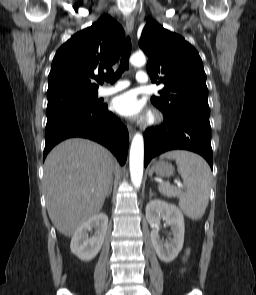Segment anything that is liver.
<instances>
[{
    "label": "liver",
    "mask_w": 256,
    "mask_h": 295,
    "mask_svg": "<svg viewBox=\"0 0 256 295\" xmlns=\"http://www.w3.org/2000/svg\"><path fill=\"white\" fill-rule=\"evenodd\" d=\"M112 154L90 140L58 144L44 163L43 185L48 215L64 236H72L104 204L115 168Z\"/></svg>",
    "instance_id": "1"
}]
</instances>
